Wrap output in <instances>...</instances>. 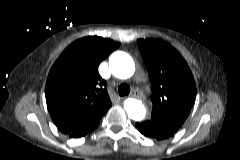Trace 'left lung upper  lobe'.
I'll return each mask as SVG.
<instances>
[{"mask_svg": "<svg viewBox=\"0 0 240 160\" xmlns=\"http://www.w3.org/2000/svg\"><path fill=\"white\" fill-rule=\"evenodd\" d=\"M152 86L150 120L172 133L183 125L196 98V85L181 54L160 39H139Z\"/></svg>", "mask_w": 240, "mask_h": 160, "instance_id": "1", "label": "left lung upper lobe"}]
</instances>
